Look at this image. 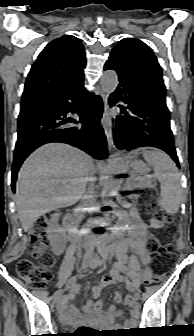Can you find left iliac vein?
<instances>
[{"mask_svg": "<svg viewBox=\"0 0 194 336\" xmlns=\"http://www.w3.org/2000/svg\"><path fill=\"white\" fill-rule=\"evenodd\" d=\"M105 258L108 259V257H105ZM132 291H134V287H133ZM134 298H135V300H139L140 299V295L138 293H134Z\"/></svg>", "mask_w": 194, "mask_h": 336, "instance_id": "obj_1", "label": "left iliac vein"}]
</instances>
